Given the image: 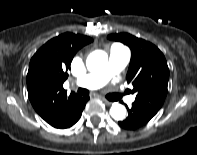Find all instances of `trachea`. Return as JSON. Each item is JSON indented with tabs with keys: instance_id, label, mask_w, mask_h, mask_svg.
I'll use <instances>...</instances> for the list:
<instances>
[{
	"instance_id": "3493384b",
	"label": "trachea",
	"mask_w": 197,
	"mask_h": 155,
	"mask_svg": "<svg viewBox=\"0 0 197 155\" xmlns=\"http://www.w3.org/2000/svg\"><path fill=\"white\" fill-rule=\"evenodd\" d=\"M79 95H88L89 91L87 89L79 88L78 89ZM122 98V94H109L107 95V99L110 101H118Z\"/></svg>"
}]
</instances>
